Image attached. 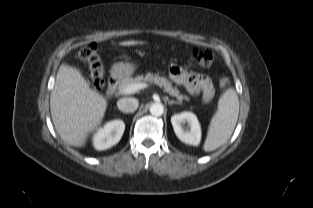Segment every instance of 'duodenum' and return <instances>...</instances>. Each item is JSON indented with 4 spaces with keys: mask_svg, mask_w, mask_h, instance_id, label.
<instances>
[{
    "mask_svg": "<svg viewBox=\"0 0 313 208\" xmlns=\"http://www.w3.org/2000/svg\"><path fill=\"white\" fill-rule=\"evenodd\" d=\"M117 83H118V76L117 74L113 73L110 76V79L108 81V85L106 88L107 95H113L115 93L116 88H117Z\"/></svg>",
    "mask_w": 313,
    "mask_h": 208,
    "instance_id": "1",
    "label": "duodenum"
}]
</instances>
